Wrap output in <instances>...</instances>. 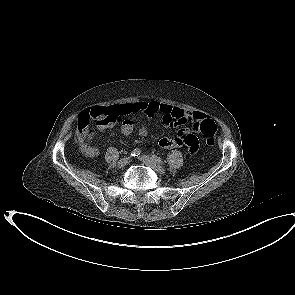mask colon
Returning a JSON list of instances; mask_svg holds the SVG:
<instances>
[{
    "label": "colon",
    "instance_id": "1",
    "mask_svg": "<svg viewBox=\"0 0 295 295\" xmlns=\"http://www.w3.org/2000/svg\"><path fill=\"white\" fill-rule=\"evenodd\" d=\"M109 117L110 111L106 107H95L91 110L82 112L78 118V125L75 134L76 141L79 144H85L88 142L93 134V123L98 125L101 121H104ZM196 128L200 131L208 144L214 143L217 127L212 119L202 120L200 123L196 124Z\"/></svg>",
    "mask_w": 295,
    "mask_h": 295
}]
</instances>
